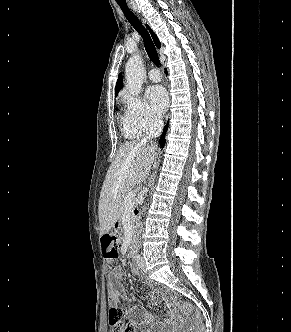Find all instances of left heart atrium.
Masks as SVG:
<instances>
[{"label": "left heart atrium", "mask_w": 291, "mask_h": 332, "mask_svg": "<svg viewBox=\"0 0 291 332\" xmlns=\"http://www.w3.org/2000/svg\"><path fill=\"white\" fill-rule=\"evenodd\" d=\"M146 97L154 115L161 116L168 105V96L164 88L159 85L151 86L146 91Z\"/></svg>", "instance_id": "39dd6f15"}]
</instances>
